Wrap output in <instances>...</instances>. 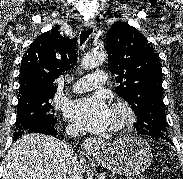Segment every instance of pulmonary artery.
I'll return each mask as SVG.
<instances>
[{
    "label": "pulmonary artery",
    "instance_id": "1",
    "mask_svg": "<svg viewBox=\"0 0 183 179\" xmlns=\"http://www.w3.org/2000/svg\"><path fill=\"white\" fill-rule=\"evenodd\" d=\"M106 82V73L104 71H95L91 74L81 77L73 84L75 93H82L103 85Z\"/></svg>",
    "mask_w": 183,
    "mask_h": 179
}]
</instances>
